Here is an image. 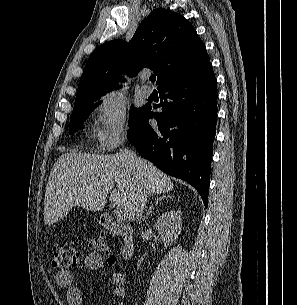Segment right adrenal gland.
I'll return each instance as SVG.
<instances>
[{"mask_svg": "<svg viewBox=\"0 0 297 305\" xmlns=\"http://www.w3.org/2000/svg\"><path fill=\"white\" fill-rule=\"evenodd\" d=\"M167 197H168V196L163 195V196H160V197L155 198L154 204H153V203L151 204V206H150L149 210L147 211V213H146L144 219H147V218H148V216L152 213V211H153V209H154V206H156V205L159 203V201H162V200H164V199L167 198Z\"/></svg>", "mask_w": 297, "mask_h": 305, "instance_id": "2a0ac1e0", "label": "right adrenal gland"}]
</instances>
